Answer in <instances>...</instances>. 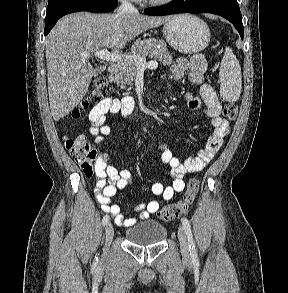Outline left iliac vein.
<instances>
[{
    "mask_svg": "<svg viewBox=\"0 0 288 293\" xmlns=\"http://www.w3.org/2000/svg\"><path fill=\"white\" fill-rule=\"evenodd\" d=\"M178 239H179L182 255L185 258H188L190 256V250H189L186 233L182 227H180L178 230Z\"/></svg>",
    "mask_w": 288,
    "mask_h": 293,
    "instance_id": "1",
    "label": "left iliac vein"
}]
</instances>
